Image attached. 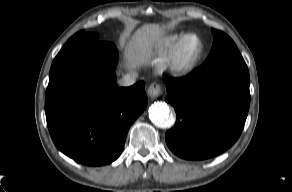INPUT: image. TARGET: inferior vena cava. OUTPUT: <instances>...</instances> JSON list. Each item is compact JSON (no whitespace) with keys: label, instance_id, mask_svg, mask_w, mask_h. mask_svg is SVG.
I'll return each instance as SVG.
<instances>
[{"label":"inferior vena cava","instance_id":"1","mask_svg":"<svg viewBox=\"0 0 292 192\" xmlns=\"http://www.w3.org/2000/svg\"><path fill=\"white\" fill-rule=\"evenodd\" d=\"M138 77V73L135 71L129 72L128 74L124 75L120 80L119 84L121 86H131L135 83L136 78Z\"/></svg>","mask_w":292,"mask_h":192}]
</instances>
